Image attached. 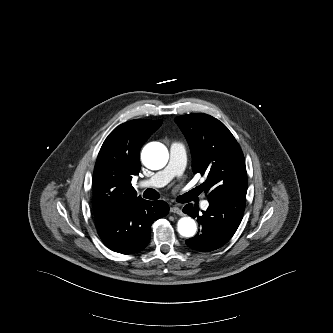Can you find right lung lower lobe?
Here are the masks:
<instances>
[{
  "label": "right lung lower lobe",
  "mask_w": 333,
  "mask_h": 333,
  "mask_svg": "<svg viewBox=\"0 0 333 333\" xmlns=\"http://www.w3.org/2000/svg\"><path fill=\"white\" fill-rule=\"evenodd\" d=\"M169 206L164 201L137 197L119 210L95 215L98 234L111 250L132 254L144 249L150 241L151 224L164 217Z\"/></svg>",
  "instance_id": "right-lung-lower-lobe-1"
}]
</instances>
